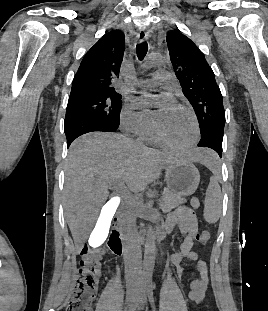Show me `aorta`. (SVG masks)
<instances>
[{
    "label": "aorta",
    "mask_w": 268,
    "mask_h": 311,
    "mask_svg": "<svg viewBox=\"0 0 268 311\" xmlns=\"http://www.w3.org/2000/svg\"><path fill=\"white\" fill-rule=\"evenodd\" d=\"M163 65V58L160 55L154 54L150 55L145 63L143 64V69L150 71L156 67ZM155 255H156V245H155V232L153 226H149L146 235L145 251H144V275L146 277H151L155 265Z\"/></svg>",
    "instance_id": "aorta-1"
}]
</instances>
